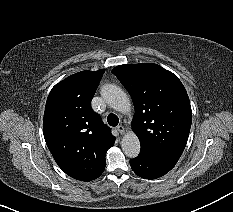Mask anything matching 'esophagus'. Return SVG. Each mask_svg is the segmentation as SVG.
Wrapping results in <instances>:
<instances>
[{
    "label": "esophagus",
    "instance_id": "obj_1",
    "mask_svg": "<svg viewBox=\"0 0 233 212\" xmlns=\"http://www.w3.org/2000/svg\"><path fill=\"white\" fill-rule=\"evenodd\" d=\"M117 131H118L120 134H124L126 130H125L124 126L119 125V126H117Z\"/></svg>",
    "mask_w": 233,
    "mask_h": 212
}]
</instances>
